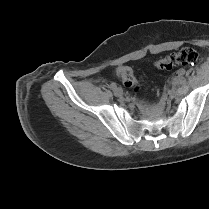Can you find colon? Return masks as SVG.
<instances>
[{
	"label": "colon",
	"mask_w": 209,
	"mask_h": 209,
	"mask_svg": "<svg viewBox=\"0 0 209 209\" xmlns=\"http://www.w3.org/2000/svg\"><path fill=\"white\" fill-rule=\"evenodd\" d=\"M198 53L192 48H183L155 62V67L159 70H170L179 65H191L197 62ZM116 77L121 80L124 86L133 90H138L139 80L133 70L128 66H121L116 70Z\"/></svg>",
	"instance_id": "1"
}]
</instances>
